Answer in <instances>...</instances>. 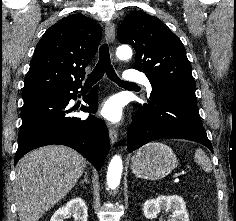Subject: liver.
Segmentation results:
<instances>
[{
    "instance_id": "liver-1",
    "label": "liver",
    "mask_w": 236,
    "mask_h": 221,
    "mask_svg": "<svg viewBox=\"0 0 236 221\" xmlns=\"http://www.w3.org/2000/svg\"><path fill=\"white\" fill-rule=\"evenodd\" d=\"M85 167V158L66 146H45L24 156L14 185L19 220L38 221L76 185Z\"/></svg>"
}]
</instances>
